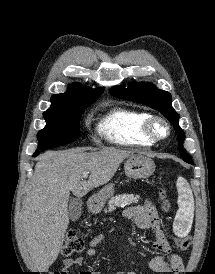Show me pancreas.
<instances>
[{"label":"pancreas","mask_w":215,"mask_h":274,"mask_svg":"<svg viewBox=\"0 0 215 274\" xmlns=\"http://www.w3.org/2000/svg\"><path fill=\"white\" fill-rule=\"evenodd\" d=\"M139 196H134L133 194H123L112 197L108 202V208L105 209V212H112L117 207H125L133 203H138Z\"/></svg>","instance_id":"obj_1"}]
</instances>
